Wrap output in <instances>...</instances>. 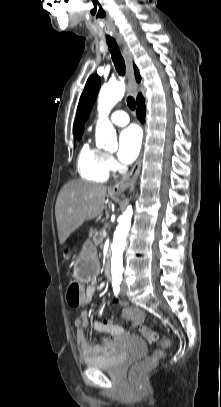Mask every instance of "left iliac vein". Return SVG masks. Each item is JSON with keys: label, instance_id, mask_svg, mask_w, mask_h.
Returning <instances> with one entry per match:
<instances>
[{"label": "left iliac vein", "instance_id": "1", "mask_svg": "<svg viewBox=\"0 0 221 407\" xmlns=\"http://www.w3.org/2000/svg\"><path fill=\"white\" fill-rule=\"evenodd\" d=\"M127 291H128L127 285H126L125 283H123V284L121 285V288H120V293H121V295H122V296H126V295H127Z\"/></svg>", "mask_w": 221, "mask_h": 407}]
</instances>
